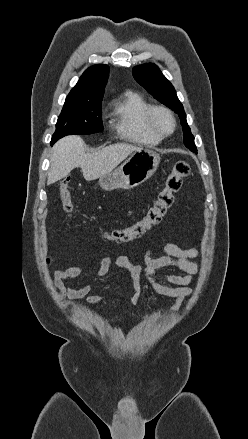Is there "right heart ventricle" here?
Here are the masks:
<instances>
[{
    "label": "right heart ventricle",
    "mask_w": 248,
    "mask_h": 439,
    "mask_svg": "<svg viewBox=\"0 0 248 439\" xmlns=\"http://www.w3.org/2000/svg\"><path fill=\"white\" fill-rule=\"evenodd\" d=\"M152 105L138 92H126L115 101L110 113V126L116 134L140 145L152 146L162 138L148 124V112Z\"/></svg>",
    "instance_id": "1"
}]
</instances>
